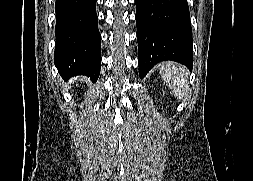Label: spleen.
Wrapping results in <instances>:
<instances>
[{
  "label": "spleen",
  "mask_w": 253,
  "mask_h": 181,
  "mask_svg": "<svg viewBox=\"0 0 253 181\" xmlns=\"http://www.w3.org/2000/svg\"><path fill=\"white\" fill-rule=\"evenodd\" d=\"M159 70L172 94L181 100L188 88L187 68L174 62H165L160 64Z\"/></svg>",
  "instance_id": "3e777b00"
}]
</instances>
